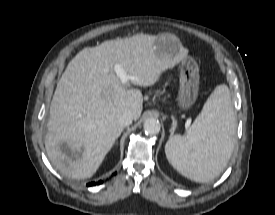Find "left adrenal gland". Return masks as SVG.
<instances>
[{
  "label": "left adrenal gland",
  "instance_id": "obj_1",
  "mask_svg": "<svg viewBox=\"0 0 275 215\" xmlns=\"http://www.w3.org/2000/svg\"><path fill=\"white\" fill-rule=\"evenodd\" d=\"M176 126H177V120L175 119L174 116H172V127H171V130H170L171 135H173L174 130L176 129Z\"/></svg>",
  "mask_w": 275,
  "mask_h": 215
}]
</instances>
